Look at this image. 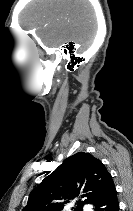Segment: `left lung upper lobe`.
Segmentation results:
<instances>
[{
	"label": "left lung upper lobe",
	"instance_id": "1",
	"mask_svg": "<svg viewBox=\"0 0 133 211\" xmlns=\"http://www.w3.org/2000/svg\"><path fill=\"white\" fill-rule=\"evenodd\" d=\"M113 186L112 176L99 159L78 152L30 193L23 211H62L67 203L74 204L73 211H82L83 204L93 205Z\"/></svg>",
	"mask_w": 133,
	"mask_h": 211
}]
</instances>
